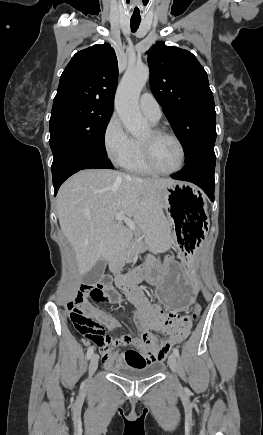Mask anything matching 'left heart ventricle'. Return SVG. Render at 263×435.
I'll list each match as a JSON object with an SVG mask.
<instances>
[{
  "label": "left heart ventricle",
  "instance_id": "obj_1",
  "mask_svg": "<svg viewBox=\"0 0 263 435\" xmlns=\"http://www.w3.org/2000/svg\"><path fill=\"white\" fill-rule=\"evenodd\" d=\"M151 145L156 166L163 171L176 169L181 162L178 144L170 137H154L149 131L142 139Z\"/></svg>",
  "mask_w": 263,
  "mask_h": 435
}]
</instances>
